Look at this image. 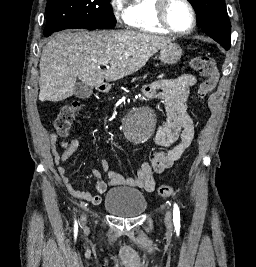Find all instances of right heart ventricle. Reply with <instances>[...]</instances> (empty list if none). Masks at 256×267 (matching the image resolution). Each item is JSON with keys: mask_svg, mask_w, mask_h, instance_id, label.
<instances>
[{"mask_svg": "<svg viewBox=\"0 0 256 267\" xmlns=\"http://www.w3.org/2000/svg\"><path fill=\"white\" fill-rule=\"evenodd\" d=\"M159 0H137L132 10V20L137 22L132 25L141 28L143 36H168V31L161 28L156 19Z\"/></svg>", "mask_w": 256, "mask_h": 267, "instance_id": "right-heart-ventricle-1", "label": "right heart ventricle"}]
</instances>
